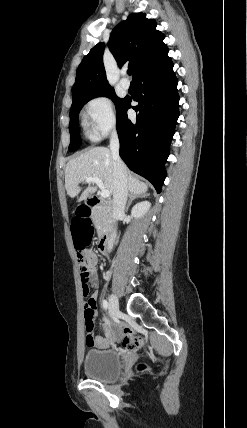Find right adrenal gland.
Returning a JSON list of instances; mask_svg holds the SVG:
<instances>
[{
    "mask_svg": "<svg viewBox=\"0 0 247 428\" xmlns=\"http://www.w3.org/2000/svg\"><path fill=\"white\" fill-rule=\"evenodd\" d=\"M140 197V194H132L129 197V201H128V205H127V209L129 208V206L131 205L132 201L136 198Z\"/></svg>",
    "mask_w": 247,
    "mask_h": 428,
    "instance_id": "right-adrenal-gland-1",
    "label": "right adrenal gland"
}]
</instances>
